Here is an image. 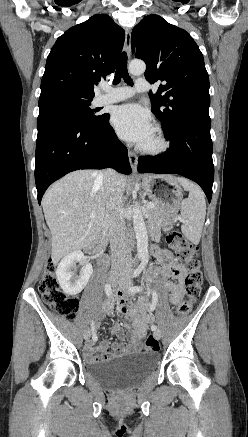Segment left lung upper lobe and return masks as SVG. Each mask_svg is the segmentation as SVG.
Returning <instances> with one entry per match:
<instances>
[{"label":"left lung upper lobe","instance_id":"obj_1","mask_svg":"<svg viewBox=\"0 0 248 437\" xmlns=\"http://www.w3.org/2000/svg\"><path fill=\"white\" fill-rule=\"evenodd\" d=\"M135 57L146 63L145 78L162 81L149 93L152 112L170 133L186 119L209 117V78L193 38L158 15H148L133 29Z\"/></svg>","mask_w":248,"mask_h":437}]
</instances>
